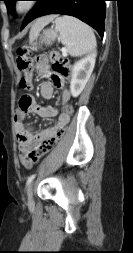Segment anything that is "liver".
<instances>
[{
  "label": "liver",
  "mask_w": 133,
  "mask_h": 253,
  "mask_svg": "<svg viewBox=\"0 0 133 253\" xmlns=\"http://www.w3.org/2000/svg\"><path fill=\"white\" fill-rule=\"evenodd\" d=\"M56 17V15H47L44 17H41L39 19H37L34 24L31 27L30 30V39L37 37V35L39 34V32L47 25L49 24L51 21H53V19Z\"/></svg>",
  "instance_id": "6515ba94"
}]
</instances>
